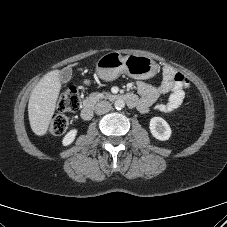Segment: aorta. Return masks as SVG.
<instances>
[{
	"label": "aorta",
	"mask_w": 227,
	"mask_h": 227,
	"mask_svg": "<svg viewBox=\"0 0 227 227\" xmlns=\"http://www.w3.org/2000/svg\"><path fill=\"white\" fill-rule=\"evenodd\" d=\"M114 106L117 110H121L125 107V102L123 99H117L115 102H114Z\"/></svg>",
	"instance_id": "1"
}]
</instances>
